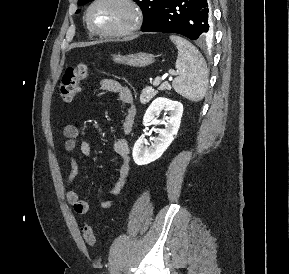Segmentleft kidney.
Segmentation results:
<instances>
[{
    "label": "left kidney",
    "instance_id": "obj_1",
    "mask_svg": "<svg viewBox=\"0 0 289 274\" xmlns=\"http://www.w3.org/2000/svg\"><path fill=\"white\" fill-rule=\"evenodd\" d=\"M163 110L169 112V117H165L167 121L165 128L157 131L158 137L151 144L146 143L143 138H139L134 144L132 156L137 165H147L160 158L178 133L183 105L163 97H158L148 107L143 117L144 125L147 126L155 121L157 115Z\"/></svg>",
    "mask_w": 289,
    "mask_h": 274
}]
</instances>
